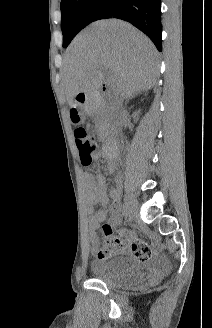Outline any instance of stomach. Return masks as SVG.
I'll use <instances>...</instances> for the list:
<instances>
[{
    "instance_id": "1",
    "label": "stomach",
    "mask_w": 212,
    "mask_h": 328,
    "mask_svg": "<svg viewBox=\"0 0 212 328\" xmlns=\"http://www.w3.org/2000/svg\"><path fill=\"white\" fill-rule=\"evenodd\" d=\"M77 106H72V108L69 110L68 119L72 120L73 124H82L83 118L81 117V114L78 113Z\"/></svg>"
}]
</instances>
